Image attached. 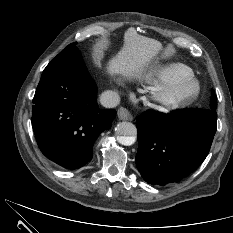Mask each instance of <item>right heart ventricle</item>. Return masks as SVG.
Listing matches in <instances>:
<instances>
[{
	"instance_id": "e07e8e85",
	"label": "right heart ventricle",
	"mask_w": 233,
	"mask_h": 233,
	"mask_svg": "<svg viewBox=\"0 0 233 233\" xmlns=\"http://www.w3.org/2000/svg\"><path fill=\"white\" fill-rule=\"evenodd\" d=\"M193 71L181 63H172L154 71L152 80L157 86L172 84L182 78L192 77Z\"/></svg>"
}]
</instances>
